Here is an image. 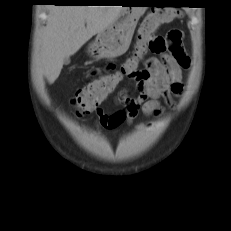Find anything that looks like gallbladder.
<instances>
[{"instance_id": "bac80fb5", "label": "gallbladder", "mask_w": 231, "mask_h": 231, "mask_svg": "<svg viewBox=\"0 0 231 231\" xmlns=\"http://www.w3.org/2000/svg\"><path fill=\"white\" fill-rule=\"evenodd\" d=\"M69 63H70V59H69V58H65V59H64V64H65V65H68Z\"/></svg>"}]
</instances>
